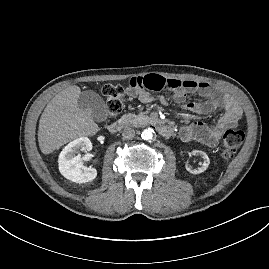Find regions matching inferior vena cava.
I'll list each match as a JSON object with an SVG mask.
<instances>
[{"label":"inferior vena cava","mask_w":269,"mask_h":269,"mask_svg":"<svg viewBox=\"0 0 269 269\" xmlns=\"http://www.w3.org/2000/svg\"><path fill=\"white\" fill-rule=\"evenodd\" d=\"M122 136L126 139H132L135 136V130L131 127H126L122 131Z\"/></svg>","instance_id":"obj_1"}]
</instances>
